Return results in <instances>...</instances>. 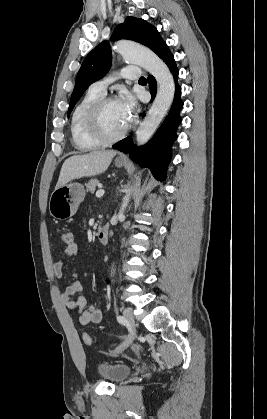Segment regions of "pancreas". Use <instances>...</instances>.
I'll list each match as a JSON object with an SVG mask.
<instances>
[{
	"instance_id": "pancreas-1",
	"label": "pancreas",
	"mask_w": 267,
	"mask_h": 419,
	"mask_svg": "<svg viewBox=\"0 0 267 419\" xmlns=\"http://www.w3.org/2000/svg\"><path fill=\"white\" fill-rule=\"evenodd\" d=\"M100 182L98 179H90L89 182L86 184V190L87 192L93 193L95 191L96 186H99Z\"/></svg>"
}]
</instances>
